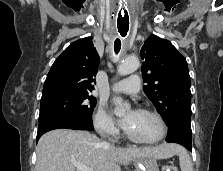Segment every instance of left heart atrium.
<instances>
[{
    "instance_id": "1",
    "label": "left heart atrium",
    "mask_w": 223,
    "mask_h": 171,
    "mask_svg": "<svg viewBox=\"0 0 223 171\" xmlns=\"http://www.w3.org/2000/svg\"><path fill=\"white\" fill-rule=\"evenodd\" d=\"M135 111L129 112L121 121L120 124L121 126L126 130L131 122V119L134 115Z\"/></svg>"
}]
</instances>
